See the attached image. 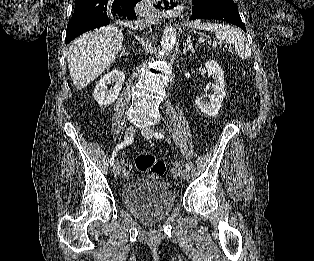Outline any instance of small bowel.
<instances>
[{"label":"small bowel","mask_w":314,"mask_h":261,"mask_svg":"<svg viewBox=\"0 0 314 261\" xmlns=\"http://www.w3.org/2000/svg\"><path fill=\"white\" fill-rule=\"evenodd\" d=\"M129 171H130V167H129L128 165H126V166L124 167V173H125V174H128Z\"/></svg>","instance_id":"1"}]
</instances>
